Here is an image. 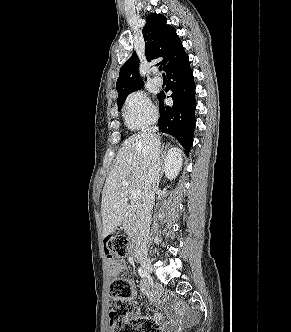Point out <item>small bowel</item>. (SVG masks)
I'll return each instance as SVG.
<instances>
[{
  "label": "small bowel",
  "mask_w": 291,
  "mask_h": 332,
  "mask_svg": "<svg viewBox=\"0 0 291 332\" xmlns=\"http://www.w3.org/2000/svg\"><path fill=\"white\" fill-rule=\"evenodd\" d=\"M109 265H110L109 274L111 277H114V278L117 277L118 274L125 269L124 262L121 260H118V259H111L109 261ZM142 289L144 292H146L149 295L151 301H153L155 303L159 302L158 292H156V291L150 292L147 283H145V282L142 283ZM153 319L157 322L161 319V316L159 314H156L153 317ZM175 324H176L175 322L171 323L172 326H175Z\"/></svg>",
  "instance_id": "1"
}]
</instances>
